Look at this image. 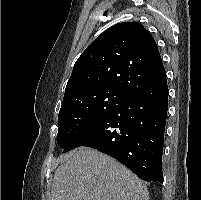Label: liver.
I'll return each instance as SVG.
<instances>
[{
	"instance_id": "6515ba94",
	"label": "liver",
	"mask_w": 201,
	"mask_h": 200,
	"mask_svg": "<svg viewBox=\"0 0 201 200\" xmlns=\"http://www.w3.org/2000/svg\"><path fill=\"white\" fill-rule=\"evenodd\" d=\"M50 200H149V192L114 158L80 147L55 171Z\"/></svg>"
}]
</instances>
